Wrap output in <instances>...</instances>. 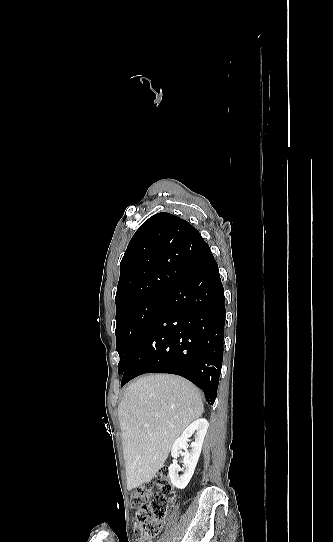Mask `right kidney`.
Masks as SVG:
<instances>
[{
	"instance_id": "obj_1",
	"label": "right kidney",
	"mask_w": 333,
	"mask_h": 542,
	"mask_svg": "<svg viewBox=\"0 0 333 542\" xmlns=\"http://www.w3.org/2000/svg\"><path fill=\"white\" fill-rule=\"evenodd\" d=\"M207 430V420H205V418H200V420L192 422V424L184 430L182 436L174 442L171 450L172 458H179V450H185L182 462L184 468H179L177 464H171V466H169L170 480L175 488L184 490V488L188 486L195 472ZM192 434H195V442H192V444L188 446V438H190ZM187 448H191L190 452H188ZM178 472H183L182 476H179Z\"/></svg>"
}]
</instances>
